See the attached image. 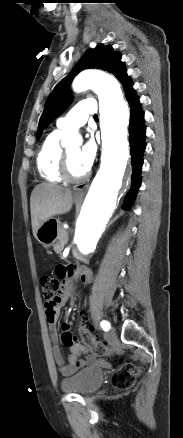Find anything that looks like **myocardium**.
<instances>
[{"mask_svg":"<svg viewBox=\"0 0 183 438\" xmlns=\"http://www.w3.org/2000/svg\"><path fill=\"white\" fill-rule=\"evenodd\" d=\"M59 172H60V176L63 179V181L68 182V183L83 182V181L87 180L89 175H90L89 170L86 171V173L80 177H74L71 175V173L69 171V159H68L67 150L62 151Z\"/></svg>","mask_w":183,"mask_h":438,"instance_id":"myocardium-1","label":"myocardium"}]
</instances>
